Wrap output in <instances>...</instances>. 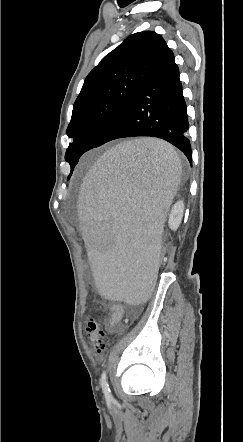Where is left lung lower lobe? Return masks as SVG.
I'll list each match as a JSON object with an SVG mask.
<instances>
[{
  "mask_svg": "<svg viewBox=\"0 0 243 442\" xmlns=\"http://www.w3.org/2000/svg\"><path fill=\"white\" fill-rule=\"evenodd\" d=\"M186 108L179 69L167 46L93 148L118 138L157 137L180 149L192 164Z\"/></svg>",
  "mask_w": 243,
  "mask_h": 442,
  "instance_id": "1",
  "label": "left lung lower lobe"
}]
</instances>
